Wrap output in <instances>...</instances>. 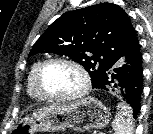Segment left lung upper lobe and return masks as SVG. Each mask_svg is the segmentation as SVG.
<instances>
[{
  "mask_svg": "<svg viewBox=\"0 0 153 134\" xmlns=\"http://www.w3.org/2000/svg\"><path fill=\"white\" fill-rule=\"evenodd\" d=\"M139 46L126 12L116 4L100 3L64 13L40 36L30 54L70 57L89 72L94 87Z\"/></svg>",
  "mask_w": 153,
  "mask_h": 134,
  "instance_id": "1",
  "label": "left lung upper lobe"
}]
</instances>
